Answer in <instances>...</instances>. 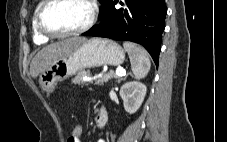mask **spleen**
I'll use <instances>...</instances> for the list:
<instances>
[{"label": "spleen", "mask_w": 227, "mask_h": 142, "mask_svg": "<svg viewBox=\"0 0 227 142\" xmlns=\"http://www.w3.org/2000/svg\"><path fill=\"white\" fill-rule=\"evenodd\" d=\"M123 46L129 55L132 72L135 78H144L151 68L148 52L143 47L132 42H124Z\"/></svg>", "instance_id": "obj_1"}]
</instances>
